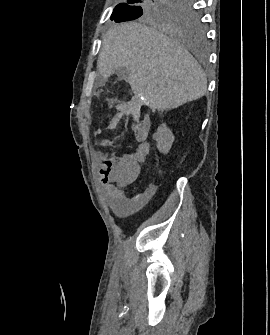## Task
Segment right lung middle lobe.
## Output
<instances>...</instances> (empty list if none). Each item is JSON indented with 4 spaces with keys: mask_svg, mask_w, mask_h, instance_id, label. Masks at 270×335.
I'll return each mask as SVG.
<instances>
[{
    "mask_svg": "<svg viewBox=\"0 0 270 335\" xmlns=\"http://www.w3.org/2000/svg\"><path fill=\"white\" fill-rule=\"evenodd\" d=\"M138 18L182 40L196 45L204 43L202 16L191 0H126L118 4L111 15V20L117 23Z\"/></svg>",
    "mask_w": 270,
    "mask_h": 335,
    "instance_id": "1",
    "label": "right lung middle lobe"
}]
</instances>
